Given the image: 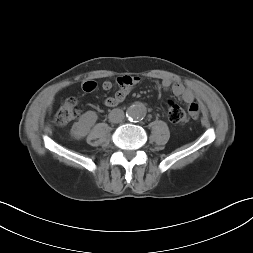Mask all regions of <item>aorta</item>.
Segmentation results:
<instances>
[{
	"label": "aorta",
	"mask_w": 253,
	"mask_h": 253,
	"mask_svg": "<svg viewBox=\"0 0 253 253\" xmlns=\"http://www.w3.org/2000/svg\"><path fill=\"white\" fill-rule=\"evenodd\" d=\"M145 115L146 110L141 105H132L127 110V117L131 120H141Z\"/></svg>",
	"instance_id": "aorta-1"
}]
</instances>
